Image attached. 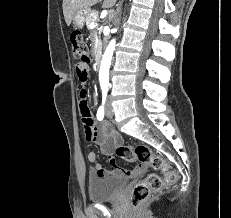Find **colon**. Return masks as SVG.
Here are the masks:
<instances>
[{
	"mask_svg": "<svg viewBox=\"0 0 231 218\" xmlns=\"http://www.w3.org/2000/svg\"><path fill=\"white\" fill-rule=\"evenodd\" d=\"M70 42L75 58L80 60L85 56L89 57V47L80 31L71 32ZM116 154L126 161H139L141 164L160 171V173H150L134 186L131 192V203L135 207L141 205L150 194L161 190L166 185L174 184L178 179L177 172L170 167L164 158L145 145L121 144L116 148Z\"/></svg>",
	"mask_w": 231,
	"mask_h": 218,
	"instance_id": "5ec220e1",
	"label": "colon"
}]
</instances>
